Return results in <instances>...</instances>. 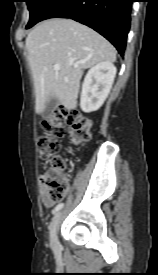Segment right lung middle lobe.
<instances>
[{"mask_svg": "<svg viewBox=\"0 0 158 275\" xmlns=\"http://www.w3.org/2000/svg\"><path fill=\"white\" fill-rule=\"evenodd\" d=\"M56 0H26L30 11V20L26 28H30L39 22L45 12Z\"/></svg>", "mask_w": 158, "mask_h": 275, "instance_id": "obj_1", "label": "right lung middle lobe"}]
</instances>
